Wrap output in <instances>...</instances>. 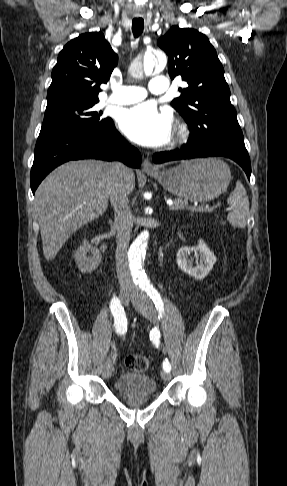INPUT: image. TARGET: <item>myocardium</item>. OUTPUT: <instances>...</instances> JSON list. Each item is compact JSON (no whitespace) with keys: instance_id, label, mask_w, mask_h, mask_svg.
<instances>
[{"instance_id":"1","label":"myocardium","mask_w":287,"mask_h":486,"mask_svg":"<svg viewBox=\"0 0 287 486\" xmlns=\"http://www.w3.org/2000/svg\"><path fill=\"white\" fill-rule=\"evenodd\" d=\"M188 136H189L188 127L185 124L179 125L176 129L175 139L177 141H184L187 139Z\"/></svg>"}]
</instances>
